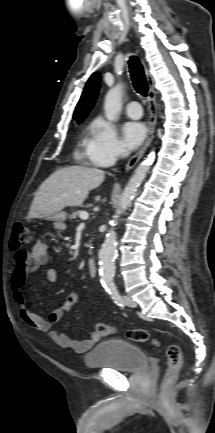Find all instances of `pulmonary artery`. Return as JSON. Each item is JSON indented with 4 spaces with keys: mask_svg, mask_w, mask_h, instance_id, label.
I'll use <instances>...</instances> for the list:
<instances>
[{
    "mask_svg": "<svg viewBox=\"0 0 215 433\" xmlns=\"http://www.w3.org/2000/svg\"><path fill=\"white\" fill-rule=\"evenodd\" d=\"M126 113L130 118L139 119L142 116L141 104L137 101H131L126 106Z\"/></svg>",
    "mask_w": 215,
    "mask_h": 433,
    "instance_id": "obj_1",
    "label": "pulmonary artery"
}]
</instances>
